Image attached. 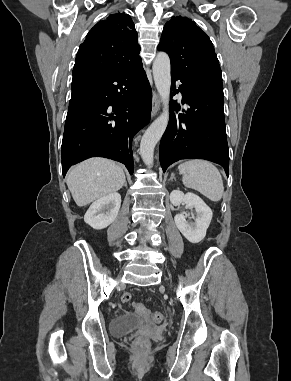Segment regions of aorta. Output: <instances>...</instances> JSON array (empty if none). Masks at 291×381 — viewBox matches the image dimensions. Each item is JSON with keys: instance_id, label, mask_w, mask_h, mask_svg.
<instances>
[{"instance_id": "obj_1", "label": "aorta", "mask_w": 291, "mask_h": 381, "mask_svg": "<svg viewBox=\"0 0 291 381\" xmlns=\"http://www.w3.org/2000/svg\"><path fill=\"white\" fill-rule=\"evenodd\" d=\"M153 77L163 103L161 115L148 127L142 136L140 154L144 163L153 164L154 148L165 132L169 121V97L171 88L170 59L165 52H159L153 62Z\"/></svg>"}]
</instances>
